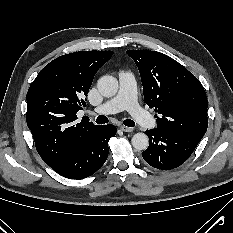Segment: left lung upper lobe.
I'll return each instance as SVG.
<instances>
[{
	"label": "left lung upper lobe",
	"instance_id": "obj_1",
	"mask_svg": "<svg viewBox=\"0 0 233 233\" xmlns=\"http://www.w3.org/2000/svg\"><path fill=\"white\" fill-rule=\"evenodd\" d=\"M127 54L140 71L146 104L158 114L157 129L200 142L208 127V102L200 81L165 54L149 50Z\"/></svg>",
	"mask_w": 233,
	"mask_h": 233
}]
</instances>
